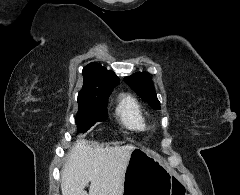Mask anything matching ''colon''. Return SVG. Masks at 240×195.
<instances>
[{
    "label": "colon",
    "instance_id": "1",
    "mask_svg": "<svg viewBox=\"0 0 240 195\" xmlns=\"http://www.w3.org/2000/svg\"><path fill=\"white\" fill-rule=\"evenodd\" d=\"M174 190L176 192H173V195H186L187 194V191L186 190H183V187L182 186H175L174 187Z\"/></svg>",
    "mask_w": 240,
    "mask_h": 195
}]
</instances>
